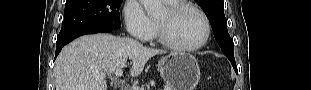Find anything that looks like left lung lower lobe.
Here are the masks:
<instances>
[{"label":"left lung lower lobe","instance_id":"obj_1","mask_svg":"<svg viewBox=\"0 0 311 90\" xmlns=\"http://www.w3.org/2000/svg\"><path fill=\"white\" fill-rule=\"evenodd\" d=\"M232 65H233L235 71H237L236 63H235V62H232Z\"/></svg>","mask_w":311,"mask_h":90}]
</instances>
